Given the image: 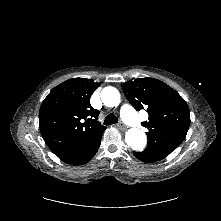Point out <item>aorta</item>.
I'll list each match as a JSON object with an SVG mask.
<instances>
[{"mask_svg": "<svg viewBox=\"0 0 221 221\" xmlns=\"http://www.w3.org/2000/svg\"><path fill=\"white\" fill-rule=\"evenodd\" d=\"M101 100L108 107H116L120 103V93L114 87H105L101 91ZM125 142L133 150L142 151L146 146L147 138L141 129L130 128L125 134Z\"/></svg>", "mask_w": 221, "mask_h": 221, "instance_id": "obj_1", "label": "aorta"}]
</instances>
